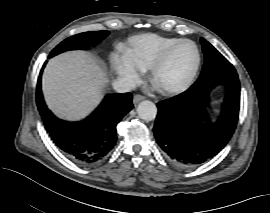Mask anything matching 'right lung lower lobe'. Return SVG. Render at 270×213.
<instances>
[{
    "mask_svg": "<svg viewBox=\"0 0 270 213\" xmlns=\"http://www.w3.org/2000/svg\"><path fill=\"white\" fill-rule=\"evenodd\" d=\"M41 74L42 71L38 78L36 101L53 142L68 158L79 164L92 165L102 161L116 144L117 123L133 108L132 94L106 95L85 120L70 123L56 118L46 107L41 91Z\"/></svg>",
    "mask_w": 270,
    "mask_h": 213,
    "instance_id": "obj_1",
    "label": "right lung lower lobe"
}]
</instances>
